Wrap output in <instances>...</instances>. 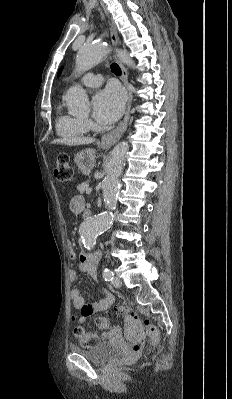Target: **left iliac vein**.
I'll return each mask as SVG.
<instances>
[{
  "label": "left iliac vein",
  "mask_w": 232,
  "mask_h": 399,
  "mask_svg": "<svg viewBox=\"0 0 232 399\" xmlns=\"http://www.w3.org/2000/svg\"><path fill=\"white\" fill-rule=\"evenodd\" d=\"M111 286H114L115 288H118L119 286H122V282L120 278H112L111 279Z\"/></svg>",
  "instance_id": "obj_1"
}]
</instances>
